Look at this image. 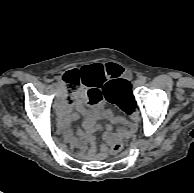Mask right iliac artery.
Returning a JSON list of instances; mask_svg holds the SVG:
<instances>
[{"instance_id": "obj_1", "label": "right iliac artery", "mask_w": 194, "mask_h": 193, "mask_svg": "<svg viewBox=\"0 0 194 193\" xmlns=\"http://www.w3.org/2000/svg\"><path fill=\"white\" fill-rule=\"evenodd\" d=\"M57 86H61V84L58 82V83H57Z\"/></svg>"}]
</instances>
